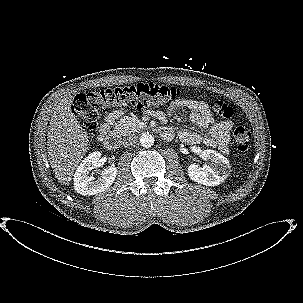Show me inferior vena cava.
<instances>
[{
	"label": "inferior vena cava",
	"instance_id": "inferior-vena-cava-1",
	"mask_svg": "<svg viewBox=\"0 0 303 303\" xmlns=\"http://www.w3.org/2000/svg\"><path fill=\"white\" fill-rule=\"evenodd\" d=\"M137 136L133 133H129L125 136L123 143L124 146L129 147V146H135L137 143Z\"/></svg>",
	"mask_w": 303,
	"mask_h": 303
}]
</instances>
